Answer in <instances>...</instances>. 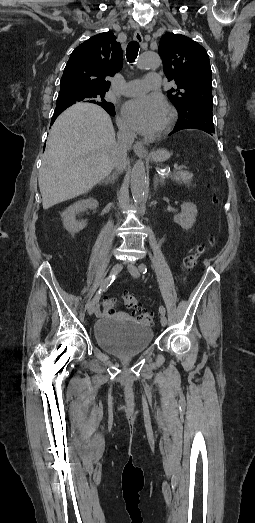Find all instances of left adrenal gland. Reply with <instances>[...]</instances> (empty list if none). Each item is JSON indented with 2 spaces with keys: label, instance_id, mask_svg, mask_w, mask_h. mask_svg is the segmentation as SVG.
<instances>
[{
  "label": "left adrenal gland",
  "instance_id": "1",
  "mask_svg": "<svg viewBox=\"0 0 255 523\" xmlns=\"http://www.w3.org/2000/svg\"><path fill=\"white\" fill-rule=\"evenodd\" d=\"M153 182H154V190H157L158 184H165L164 178H159V176H157V174H155Z\"/></svg>",
  "mask_w": 255,
  "mask_h": 523
}]
</instances>
